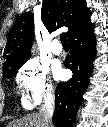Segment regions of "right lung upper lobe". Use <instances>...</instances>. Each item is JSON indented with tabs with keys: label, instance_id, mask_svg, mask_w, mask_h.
I'll return each instance as SVG.
<instances>
[{
	"label": "right lung upper lobe",
	"instance_id": "obj_1",
	"mask_svg": "<svg viewBox=\"0 0 108 127\" xmlns=\"http://www.w3.org/2000/svg\"><path fill=\"white\" fill-rule=\"evenodd\" d=\"M91 12L85 0H44L41 19L49 32L68 27V38L90 21ZM34 38L33 13L26 12L12 26L5 47V65H14L30 58Z\"/></svg>",
	"mask_w": 108,
	"mask_h": 127
}]
</instances>
